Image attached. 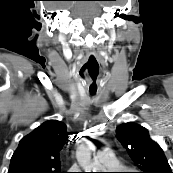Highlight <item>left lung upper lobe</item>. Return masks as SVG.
Listing matches in <instances>:
<instances>
[{
	"instance_id": "left-lung-upper-lobe-1",
	"label": "left lung upper lobe",
	"mask_w": 173,
	"mask_h": 173,
	"mask_svg": "<svg viewBox=\"0 0 173 173\" xmlns=\"http://www.w3.org/2000/svg\"><path fill=\"white\" fill-rule=\"evenodd\" d=\"M116 135L140 173H172L163 150L146 128L129 122L118 126Z\"/></svg>"
}]
</instances>
